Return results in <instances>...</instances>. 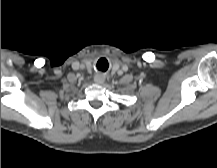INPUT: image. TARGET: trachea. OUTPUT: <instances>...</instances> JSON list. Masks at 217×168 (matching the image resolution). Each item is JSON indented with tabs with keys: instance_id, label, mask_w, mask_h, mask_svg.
<instances>
[{
	"instance_id": "1",
	"label": "trachea",
	"mask_w": 217,
	"mask_h": 168,
	"mask_svg": "<svg viewBox=\"0 0 217 168\" xmlns=\"http://www.w3.org/2000/svg\"><path fill=\"white\" fill-rule=\"evenodd\" d=\"M97 68L100 70L101 68H100V65H99V62L97 63Z\"/></svg>"
}]
</instances>
